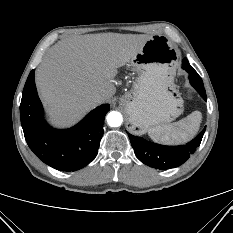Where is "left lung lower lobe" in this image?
I'll list each match as a JSON object with an SVG mask.
<instances>
[{"label": "left lung lower lobe", "mask_w": 233, "mask_h": 233, "mask_svg": "<svg viewBox=\"0 0 233 233\" xmlns=\"http://www.w3.org/2000/svg\"><path fill=\"white\" fill-rule=\"evenodd\" d=\"M182 68L189 73L191 85L199 92L201 97L207 101L201 77L191 67L185 58L182 62ZM206 127L192 141L182 146H163L148 142L141 137L128 134L134 153L144 164L156 169H171L180 166L187 161L191 154L200 145Z\"/></svg>", "instance_id": "1"}]
</instances>
